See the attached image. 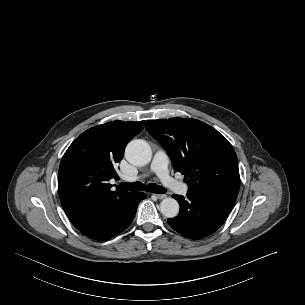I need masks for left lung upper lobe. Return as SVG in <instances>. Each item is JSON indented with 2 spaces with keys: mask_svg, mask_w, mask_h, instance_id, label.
<instances>
[{
  "mask_svg": "<svg viewBox=\"0 0 305 305\" xmlns=\"http://www.w3.org/2000/svg\"><path fill=\"white\" fill-rule=\"evenodd\" d=\"M146 129L166 150L174 169L185 175L188 192L238 194L236 153L216 129L190 118L147 120Z\"/></svg>",
  "mask_w": 305,
  "mask_h": 305,
  "instance_id": "1",
  "label": "left lung upper lobe"
}]
</instances>
